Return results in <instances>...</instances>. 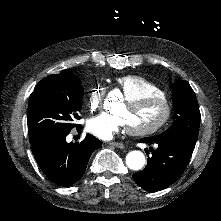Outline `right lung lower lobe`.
Here are the masks:
<instances>
[{
  "instance_id": "1",
  "label": "right lung lower lobe",
  "mask_w": 221,
  "mask_h": 221,
  "mask_svg": "<svg viewBox=\"0 0 221 221\" xmlns=\"http://www.w3.org/2000/svg\"><path fill=\"white\" fill-rule=\"evenodd\" d=\"M67 135L31 142V150L38 165L53 183L60 186H71L80 180L92 152L102 146L90 134L82 142L74 144L66 142Z\"/></svg>"
}]
</instances>
